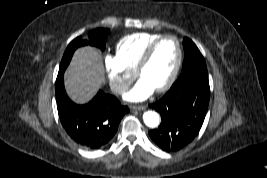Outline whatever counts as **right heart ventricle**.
I'll list each match as a JSON object with an SVG mask.
<instances>
[{
	"instance_id": "1",
	"label": "right heart ventricle",
	"mask_w": 267,
	"mask_h": 178,
	"mask_svg": "<svg viewBox=\"0 0 267 178\" xmlns=\"http://www.w3.org/2000/svg\"><path fill=\"white\" fill-rule=\"evenodd\" d=\"M162 35L161 33L150 32L127 35L118 41L116 57L126 69L135 72L138 62L147 47Z\"/></svg>"
}]
</instances>
